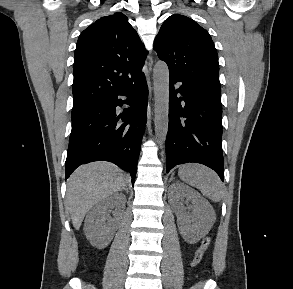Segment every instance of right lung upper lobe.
<instances>
[{"instance_id": "cb5924a9", "label": "right lung upper lobe", "mask_w": 293, "mask_h": 289, "mask_svg": "<svg viewBox=\"0 0 293 289\" xmlns=\"http://www.w3.org/2000/svg\"><path fill=\"white\" fill-rule=\"evenodd\" d=\"M147 51L123 13L101 17L79 36L74 57L73 105L95 103L134 84Z\"/></svg>"}]
</instances>
